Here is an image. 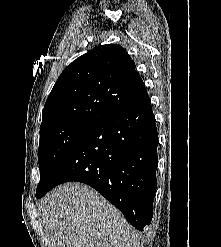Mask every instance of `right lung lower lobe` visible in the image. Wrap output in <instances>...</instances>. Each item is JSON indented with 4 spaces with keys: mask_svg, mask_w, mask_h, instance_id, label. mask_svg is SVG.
Here are the masks:
<instances>
[{
    "mask_svg": "<svg viewBox=\"0 0 221 247\" xmlns=\"http://www.w3.org/2000/svg\"><path fill=\"white\" fill-rule=\"evenodd\" d=\"M158 134L149 96L110 115L66 154L36 193L43 197L69 181L96 189L137 230L152 221L157 180Z\"/></svg>",
    "mask_w": 221,
    "mask_h": 247,
    "instance_id": "1",
    "label": "right lung lower lobe"
}]
</instances>
